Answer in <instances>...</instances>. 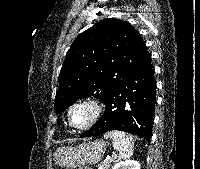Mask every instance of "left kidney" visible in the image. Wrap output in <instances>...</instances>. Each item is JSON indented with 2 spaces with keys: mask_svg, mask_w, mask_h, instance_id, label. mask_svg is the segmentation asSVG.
<instances>
[{
  "mask_svg": "<svg viewBox=\"0 0 200 169\" xmlns=\"http://www.w3.org/2000/svg\"><path fill=\"white\" fill-rule=\"evenodd\" d=\"M112 169H140V164L135 160H125L115 164Z\"/></svg>",
  "mask_w": 200,
  "mask_h": 169,
  "instance_id": "5707ae66",
  "label": "left kidney"
}]
</instances>
